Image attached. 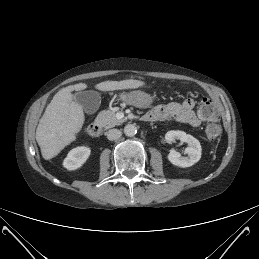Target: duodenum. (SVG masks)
I'll list each match as a JSON object with an SVG mask.
<instances>
[{
    "instance_id": "1",
    "label": "duodenum",
    "mask_w": 259,
    "mask_h": 259,
    "mask_svg": "<svg viewBox=\"0 0 259 259\" xmlns=\"http://www.w3.org/2000/svg\"><path fill=\"white\" fill-rule=\"evenodd\" d=\"M142 121L144 122H151L152 121V117L148 114H145L142 116ZM88 134L93 137V138H97L101 135L102 132V128L101 125L98 122H92L89 126H88Z\"/></svg>"
}]
</instances>
